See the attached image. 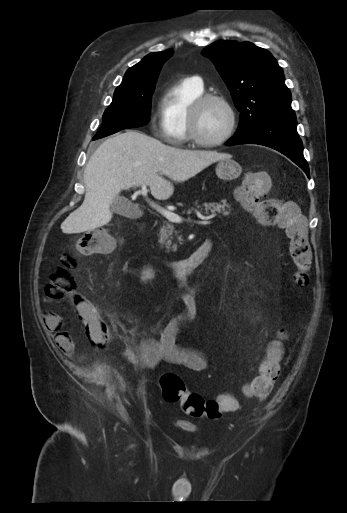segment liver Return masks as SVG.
Masks as SVG:
<instances>
[{"mask_svg":"<svg viewBox=\"0 0 347 513\" xmlns=\"http://www.w3.org/2000/svg\"><path fill=\"white\" fill-rule=\"evenodd\" d=\"M226 158L231 155L170 147L133 130L108 138L86 165L84 201L61 224L62 232L81 233L109 223L110 206L122 190L145 184L155 198L166 200L172 196L174 186L163 175L184 182Z\"/></svg>","mask_w":347,"mask_h":513,"instance_id":"liver-1","label":"liver"}]
</instances>
